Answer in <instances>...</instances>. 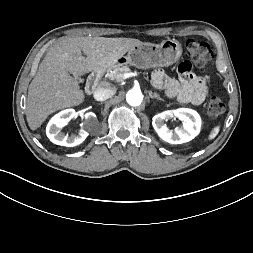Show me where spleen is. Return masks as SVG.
<instances>
[{
	"mask_svg": "<svg viewBox=\"0 0 253 253\" xmlns=\"http://www.w3.org/2000/svg\"><path fill=\"white\" fill-rule=\"evenodd\" d=\"M219 130H220V126H215V127L211 130V132H210V134H209V136H208V139H209V140L214 139V138L217 136V134L219 133Z\"/></svg>",
	"mask_w": 253,
	"mask_h": 253,
	"instance_id": "3e777b00",
	"label": "spleen"
}]
</instances>
